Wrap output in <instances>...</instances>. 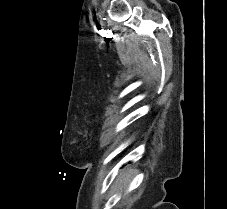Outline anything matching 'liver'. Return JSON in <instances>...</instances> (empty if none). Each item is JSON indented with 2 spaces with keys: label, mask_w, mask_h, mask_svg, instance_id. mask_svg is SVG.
I'll list each match as a JSON object with an SVG mask.
<instances>
[{
  "label": "liver",
  "mask_w": 227,
  "mask_h": 209,
  "mask_svg": "<svg viewBox=\"0 0 227 209\" xmlns=\"http://www.w3.org/2000/svg\"><path fill=\"white\" fill-rule=\"evenodd\" d=\"M133 173H134L133 169H127L126 173H123L122 179L124 183H128V181H130Z\"/></svg>",
  "instance_id": "obj_1"
}]
</instances>
